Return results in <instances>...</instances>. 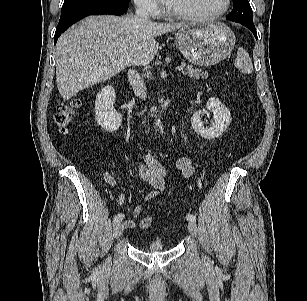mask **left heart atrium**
Listing matches in <instances>:
<instances>
[{
	"mask_svg": "<svg viewBox=\"0 0 307 301\" xmlns=\"http://www.w3.org/2000/svg\"><path fill=\"white\" fill-rule=\"evenodd\" d=\"M165 4H168L169 0H162Z\"/></svg>",
	"mask_w": 307,
	"mask_h": 301,
	"instance_id": "1",
	"label": "left heart atrium"
}]
</instances>
